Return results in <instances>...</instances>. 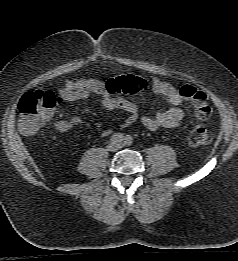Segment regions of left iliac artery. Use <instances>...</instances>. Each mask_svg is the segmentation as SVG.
<instances>
[{"instance_id": "44dca946", "label": "left iliac artery", "mask_w": 238, "mask_h": 261, "mask_svg": "<svg viewBox=\"0 0 238 261\" xmlns=\"http://www.w3.org/2000/svg\"><path fill=\"white\" fill-rule=\"evenodd\" d=\"M124 143L126 145H131L133 143V138L131 135H126L124 138Z\"/></svg>"}]
</instances>
